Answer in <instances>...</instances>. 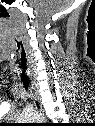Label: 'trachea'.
Wrapping results in <instances>:
<instances>
[{
	"label": "trachea",
	"instance_id": "1",
	"mask_svg": "<svg viewBox=\"0 0 95 126\" xmlns=\"http://www.w3.org/2000/svg\"><path fill=\"white\" fill-rule=\"evenodd\" d=\"M26 63H27V59L25 58V56L23 57V55H22L20 66H19L22 70L20 75H21V80H22L23 86L25 87L26 90H28L30 81L27 76V64Z\"/></svg>",
	"mask_w": 95,
	"mask_h": 126
}]
</instances>
